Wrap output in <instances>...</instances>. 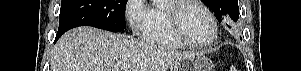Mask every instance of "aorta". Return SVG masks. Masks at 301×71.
<instances>
[{
  "label": "aorta",
  "mask_w": 301,
  "mask_h": 71,
  "mask_svg": "<svg viewBox=\"0 0 301 71\" xmlns=\"http://www.w3.org/2000/svg\"><path fill=\"white\" fill-rule=\"evenodd\" d=\"M165 2V0H153V3L156 5V6H161L163 5Z\"/></svg>",
  "instance_id": "aorta-1"
}]
</instances>
